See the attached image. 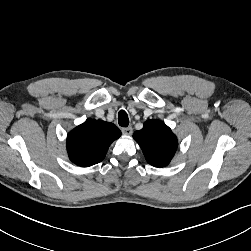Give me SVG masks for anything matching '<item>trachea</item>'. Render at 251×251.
<instances>
[{"label":"trachea","instance_id":"obj_1","mask_svg":"<svg viewBox=\"0 0 251 251\" xmlns=\"http://www.w3.org/2000/svg\"><path fill=\"white\" fill-rule=\"evenodd\" d=\"M118 123L122 127H127L129 125V118L124 110H120L118 113Z\"/></svg>","mask_w":251,"mask_h":251}]
</instances>
